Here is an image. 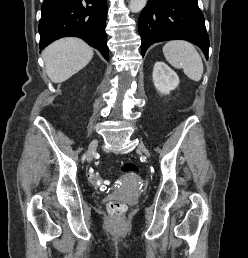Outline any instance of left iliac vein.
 I'll return each mask as SVG.
<instances>
[{
	"label": "left iliac vein",
	"instance_id": "obj_1",
	"mask_svg": "<svg viewBox=\"0 0 248 258\" xmlns=\"http://www.w3.org/2000/svg\"><path fill=\"white\" fill-rule=\"evenodd\" d=\"M137 149L141 152H143L147 157H150L151 154L149 152V150L143 145V144H139Z\"/></svg>",
	"mask_w": 248,
	"mask_h": 258
}]
</instances>
